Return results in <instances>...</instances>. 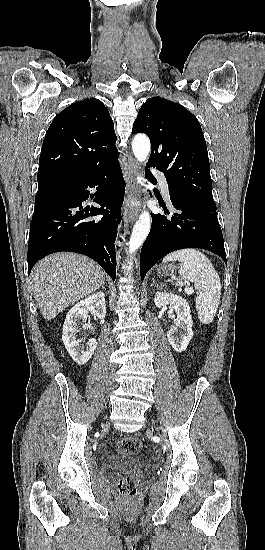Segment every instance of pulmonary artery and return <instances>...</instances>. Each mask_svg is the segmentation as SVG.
<instances>
[{
  "mask_svg": "<svg viewBox=\"0 0 265 550\" xmlns=\"http://www.w3.org/2000/svg\"><path fill=\"white\" fill-rule=\"evenodd\" d=\"M155 175L159 181L162 194L164 195L165 198L169 199V188H168V184L164 174L160 171H156Z\"/></svg>",
  "mask_w": 265,
  "mask_h": 550,
  "instance_id": "e3ab8cb5",
  "label": "pulmonary artery"
}]
</instances>
